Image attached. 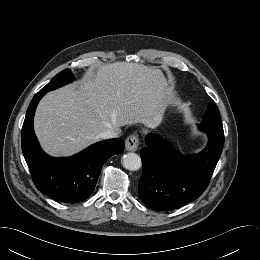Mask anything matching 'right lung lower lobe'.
Instances as JSON below:
<instances>
[{
	"instance_id": "obj_1",
	"label": "right lung lower lobe",
	"mask_w": 260,
	"mask_h": 260,
	"mask_svg": "<svg viewBox=\"0 0 260 260\" xmlns=\"http://www.w3.org/2000/svg\"><path fill=\"white\" fill-rule=\"evenodd\" d=\"M39 91L32 99L22 127V151L35 186L43 194L63 203L87 199L97 183L103 164L124 151V140L98 142L69 158H52L40 148L33 130V117L40 99Z\"/></svg>"
}]
</instances>
